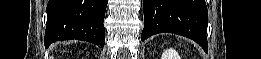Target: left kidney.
<instances>
[{
  "mask_svg": "<svg viewBox=\"0 0 261 59\" xmlns=\"http://www.w3.org/2000/svg\"><path fill=\"white\" fill-rule=\"evenodd\" d=\"M161 59H180V56L176 50L169 48L163 52Z\"/></svg>",
  "mask_w": 261,
  "mask_h": 59,
  "instance_id": "left-kidney-1",
  "label": "left kidney"
}]
</instances>
